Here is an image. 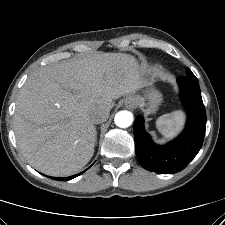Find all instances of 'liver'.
Segmentation results:
<instances>
[{
	"label": "liver",
	"mask_w": 225,
	"mask_h": 225,
	"mask_svg": "<svg viewBox=\"0 0 225 225\" xmlns=\"http://www.w3.org/2000/svg\"><path fill=\"white\" fill-rule=\"evenodd\" d=\"M136 59L100 53L45 66L22 86L14 114L18 147L27 162L50 176H70L92 158L94 111L146 86Z\"/></svg>",
	"instance_id": "6515ba94"
}]
</instances>
